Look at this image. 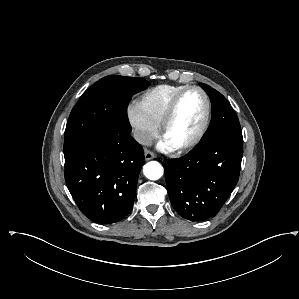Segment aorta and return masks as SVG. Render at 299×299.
Masks as SVG:
<instances>
[{
	"label": "aorta",
	"mask_w": 299,
	"mask_h": 299,
	"mask_svg": "<svg viewBox=\"0 0 299 299\" xmlns=\"http://www.w3.org/2000/svg\"><path fill=\"white\" fill-rule=\"evenodd\" d=\"M143 173L150 180H158L163 176L162 165L157 161H150L144 165Z\"/></svg>",
	"instance_id": "aorta-1"
}]
</instances>
